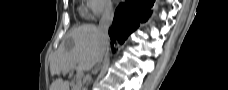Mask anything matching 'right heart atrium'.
<instances>
[{
	"mask_svg": "<svg viewBox=\"0 0 228 90\" xmlns=\"http://www.w3.org/2000/svg\"><path fill=\"white\" fill-rule=\"evenodd\" d=\"M86 14L88 19H96L105 16L112 11L110 0H86Z\"/></svg>",
	"mask_w": 228,
	"mask_h": 90,
	"instance_id": "1",
	"label": "right heart atrium"
}]
</instances>
